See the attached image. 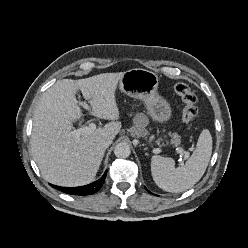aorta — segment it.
<instances>
[{
	"label": "aorta",
	"mask_w": 248,
	"mask_h": 248,
	"mask_svg": "<svg viewBox=\"0 0 248 248\" xmlns=\"http://www.w3.org/2000/svg\"><path fill=\"white\" fill-rule=\"evenodd\" d=\"M131 153L130 146L127 143L121 142L114 148V154L118 158H127Z\"/></svg>",
	"instance_id": "aorta-1"
}]
</instances>
